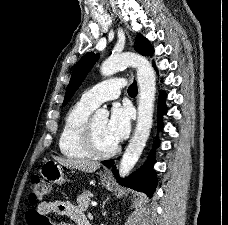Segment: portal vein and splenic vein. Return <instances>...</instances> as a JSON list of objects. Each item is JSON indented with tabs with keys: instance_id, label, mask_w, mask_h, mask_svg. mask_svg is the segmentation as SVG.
I'll list each match as a JSON object with an SVG mask.
<instances>
[{
	"instance_id": "1",
	"label": "portal vein and splenic vein",
	"mask_w": 228,
	"mask_h": 225,
	"mask_svg": "<svg viewBox=\"0 0 228 225\" xmlns=\"http://www.w3.org/2000/svg\"><path fill=\"white\" fill-rule=\"evenodd\" d=\"M91 205H93V207H96L97 203H91Z\"/></svg>"
}]
</instances>
